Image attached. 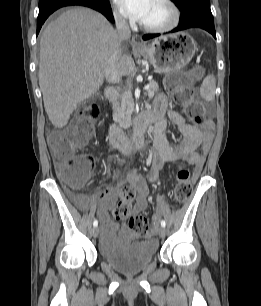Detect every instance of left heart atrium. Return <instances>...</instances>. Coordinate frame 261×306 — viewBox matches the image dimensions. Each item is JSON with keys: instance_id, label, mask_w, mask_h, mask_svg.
Returning a JSON list of instances; mask_svg holds the SVG:
<instances>
[{"instance_id": "obj_1", "label": "left heart atrium", "mask_w": 261, "mask_h": 306, "mask_svg": "<svg viewBox=\"0 0 261 306\" xmlns=\"http://www.w3.org/2000/svg\"><path fill=\"white\" fill-rule=\"evenodd\" d=\"M121 13L134 21H140L145 16L151 0H116Z\"/></svg>"}]
</instances>
